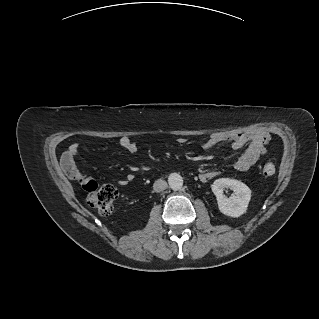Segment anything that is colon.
I'll list each match as a JSON object with an SVG mask.
<instances>
[{
	"mask_svg": "<svg viewBox=\"0 0 319 319\" xmlns=\"http://www.w3.org/2000/svg\"><path fill=\"white\" fill-rule=\"evenodd\" d=\"M274 173L275 166L273 164L268 163L264 165V176L270 177ZM80 185L88 193L87 202L89 206L103 215L112 213L115 201L118 197V190L115 186L110 184L98 186L94 180L88 178L80 179Z\"/></svg>",
	"mask_w": 319,
	"mask_h": 319,
	"instance_id": "5ec220e1",
	"label": "colon"
}]
</instances>
